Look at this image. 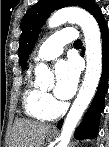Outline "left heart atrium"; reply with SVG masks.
Segmentation results:
<instances>
[{"mask_svg":"<svg viewBox=\"0 0 109 147\" xmlns=\"http://www.w3.org/2000/svg\"><path fill=\"white\" fill-rule=\"evenodd\" d=\"M79 73V65L74 58L61 60L56 64L54 94L57 98L67 100L74 95L78 85Z\"/></svg>","mask_w":109,"mask_h":147,"instance_id":"1","label":"left heart atrium"}]
</instances>
